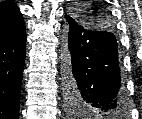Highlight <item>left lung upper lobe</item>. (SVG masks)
<instances>
[{
	"label": "left lung upper lobe",
	"instance_id": "5c2ea615",
	"mask_svg": "<svg viewBox=\"0 0 142 119\" xmlns=\"http://www.w3.org/2000/svg\"><path fill=\"white\" fill-rule=\"evenodd\" d=\"M70 17L90 29L105 28L110 23L100 7L97 5L92 6L91 3H84V5L78 6Z\"/></svg>",
	"mask_w": 142,
	"mask_h": 119
}]
</instances>
